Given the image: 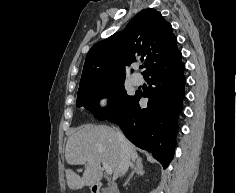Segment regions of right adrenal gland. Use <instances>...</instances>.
I'll list each match as a JSON object with an SVG mask.
<instances>
[{
    "mask_svg": "<svg viewBox=\"0 0 237 193\" xmlns=\"http://www.w3.org/2000/svg\"><path fill=\"white\" fill-rule=\"evenodd\" d=\"M132 168H133V170H132L130 176L128 177V179L126 180V182L124 183V186H126L130 182V180L134 176V174H138V175H144L145 174L144 167H143V162H142L141 159L137 160L135 165L132 166Z\"/></svg>",
    "mask_w": 237,
    "mask_h": 193,
    "instance_id": "2a0ac1e0",
    "label": "right adrenal gland"
}]
</instances>
